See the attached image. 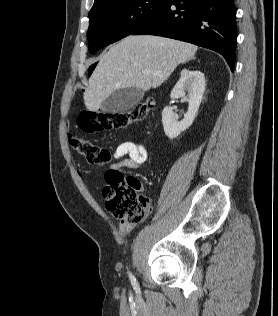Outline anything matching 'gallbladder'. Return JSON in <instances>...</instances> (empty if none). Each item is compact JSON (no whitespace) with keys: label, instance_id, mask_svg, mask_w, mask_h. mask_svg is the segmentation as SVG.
<instances>
[{"label":"gallbladder","instance_id":"gallbladder-1","mask_svg":"<svg viewBox=\"0 0 278 316\" xmlns=\"http://www.w3.org/2000/svg\"><path fill=\"white\" fill-rule=\"evenodd\" d=\"M144 91L139 88H121L112 92L102 103V111L106 113L127 112L140 103Z\"/></svg>","mask_w":278,"mask_h":316}]
</instances>
